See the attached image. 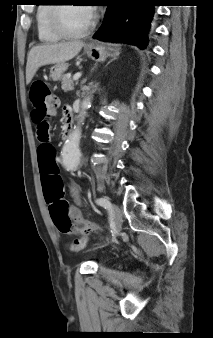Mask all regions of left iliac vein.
I'll use <instances>...</instances> for the list:
<instances>
[{
    "label": "left iliac vein",
    "instance_id": "4c4485c4",
    "mask_svg": "<svg viewBox=\"0 0 213 338\" xmlns=\"http://www.w3.org/2000/svg\"><path fill=\"white\" fill-rule=\"evenodd\" d=\"M111 209H112V213L114 216V220L116 222V229H115L116 235H118L122 227V212H121V209L115 204H111Z\"/></svg>",
    "mask_w": 213,
    "mask_h": 338
}]
</instances>
